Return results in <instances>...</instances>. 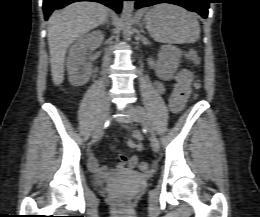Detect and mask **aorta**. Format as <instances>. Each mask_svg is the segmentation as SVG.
I'll return each instance as SVG.
<instances>
[{
	"label": "aorta",
	"mask_w": 260,
	"mask_h": 217,
	"mask_svg": "<svg viewBox=\"0 0 260 217\" xmlns=\"http://www.w3.org/2000/svg\"><path fill=\"white\" fill-rule=\"evenodd\" d=\"M134 1H124L121 13L122 31L125 40H129L133 30Z\"/></svg>",
	"instance_id": "aorta-1"
}]
</instances>
